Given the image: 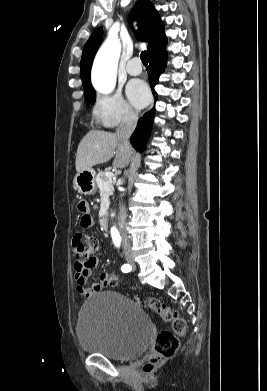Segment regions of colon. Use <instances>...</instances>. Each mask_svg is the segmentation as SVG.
Instances as JSON below:
<instances>
[{
    "instance_id": "colon-1",
    "label": "colon",
    "mask_w": 267,
    "mask_h": 391,
    "mask_svg": "<svg viewBox=\"0 0 267 391\" xmlns=\"http://www.w3.org/2000/svg\"><path fill=\"white\" fill-rule=\"evenodd\" d=\"M72 248L76 263L89 266L94 263V253L98 249V241L94 236L78 232L73 236ZM108 284L110 286L117 284V278L114 274H109ZM133 299L139 305L159 316L163 321L170 323L172 328V331L163 330L156 336L152 353L143 366V370L149 372L161 361L172 357L176 353L179 348L178 336L185 333L186 323L174 309L157 299L142 298L138 295H134Z\"/></svg>"
}]
</instances>
